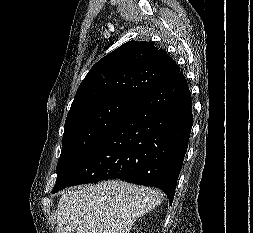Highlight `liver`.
Listing matches in <instances>:
<instances>
[{"mask_svg":"<svg viewBox=\"0 0 253 233\" xmlns=\"http://www.w3.org/2000/svg\"><path fill=\"white\" fill-rule=\"evenodd\" d=\"M157 189L113 180L69 190L57 205V233H129L163 201Z\"/></svg>","mask_w":253,"mask_h":233,"instance_id":"1","label":"liver"}]
</instances>
